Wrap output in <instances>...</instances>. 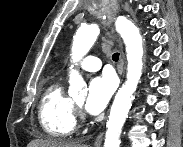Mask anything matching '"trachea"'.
<instances>
[{"label":"trachea","mask_w":183,"mask_h":147,"mask_svg":"<svg viewBox=\"0 0 183 147\" xmlns=\"http://www.w3.org/2000/svg\"><path fill=\"white\" fill-rule=\"evenodd\" d=\"M112 59H113V61H118V59H119V53H118V52H115V53L112 55Z\"/></svg>","instance_id":"trachea-1"}]
</instances>
